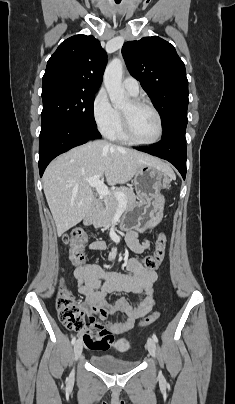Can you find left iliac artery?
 <instances>
[{
	"mask_svg": "<svg viewBox=\"0 0 235 404\" xmlns=\"http://www.w3.org/2000/svg\"><path fill=\"white\" fill-rule=\"evenodd\" d=\"M152 338L156 343H158V338H157V336L155 334L152 335Z\"/></svg>",
	"mask_w": 235,
	"mask_h": 404,
	"instance_id": "obj_1",
	"label": "left iliac artery"
}]
</instances>
